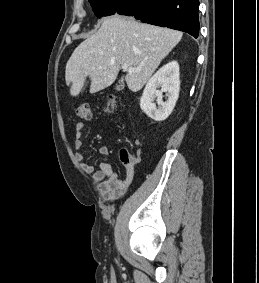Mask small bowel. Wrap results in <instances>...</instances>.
Returning a JSON list of instances; mask_svg holds the SVG:
<instances>
[{"mask_svg": "<svg viewBox=\"0 0 259 283\" xmlns=\"http://www.w3.org/2000/svg\"><path fill=\"white\" fill-rule=\"evenodd\" d=\"M84 125L82 123L75 124V141L74 146L78 152L75 154V159L80 169L90 175L93 182L96 183L99 194L106 200L116 199L123 196L134 174V164H124L126 170L125 178H120L117 173L112 170L110 164L102 162L99 169L85 161L84 154L80 152L84 146L83 142ZM99 153L103 156H108L110 151L108 147L101 146Z\"/></svg>", "mask_w": 259, "mask_h": 283, "instance_id": "c3829d8e", "label": "small bowel"}]
</instances>
